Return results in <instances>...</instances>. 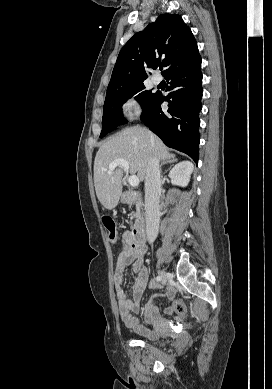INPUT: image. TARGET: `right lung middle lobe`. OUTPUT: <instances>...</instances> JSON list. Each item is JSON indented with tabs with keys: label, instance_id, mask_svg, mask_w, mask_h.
Masks as SVG:
<instances>
[{
	"label": "right lung middle lobe",
	"instance_id": "1",
	"mask_svg": "<svg viewBox=\"0 0 272 389\" xmlns=\"http://www.w3.org/2000/svg\"><path fill=\"white\" fill-rule=\"evenodd\" d=\"M158 93L146 90L143 83L107 93L103 109L100 138L113 131L119 125L126 123L122 114V104L128 98L135 97L141 104L143 111H145L156 100Z\"/></svg>",
	"mask_w": 272,
	"mask_h": 389
}]
</instances>
